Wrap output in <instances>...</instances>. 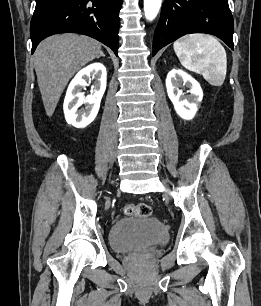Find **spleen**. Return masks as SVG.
I'll list each match as a JSON object with an SVG mask.
<instances>
[{
	"instance_id": "obj_1",
	"label": "spleen",
	"mask_w": 261,
	"mask_h": 306,
	"mask_svg": "<svg viewBox=\"0 0 261 306\" xmlns=\"http://www.w3.org/2000/svg\"><path fill=\"white\" fill-rule=\"evenodd\" d=\"M173 48L186 69L203 75L213 86L224 83L226 51L213 36L201 33L185 35L174 42Z\"/></svg>"
}]
</instances>
